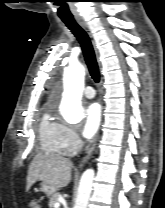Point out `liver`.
Returning <instances> with one entry per match:
<instances>
[{
	"label": "liver",
	"mask_w": 165,
	"mask_h": 208,
	"mask_svg": "<svg viewBox=\"0 0 165 208\" xmlns=\"http://www.w3.org/2000/svg\"><path fill=\"white\" fill-rule=\"evenodd\" d=\"M72 162L60 155L39 153L32 160L27 176L26 190L36 181H42L56 190L66 187L71 180Z\"/></svg>",
	"instance_id": "6515ba94"
}]
</instances>
